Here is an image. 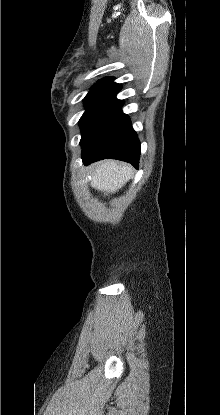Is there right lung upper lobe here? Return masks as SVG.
<instances>
[{
  "mask_svg": "<svg viewBox=\"0 0 220 415\" xmlns=\"http://www.w3.org/2000/svg\"><path fill=\"white\" fill-rule=\"evenodd\" d=\"M102 80H113V77H106V78H104V79H102ZM101 81V80H100Z\"/></svg>",
  "mask_w": 220,
  "mask_h": 415,
  "instance_id": "1",
  "label": "right lung upper lobe"
}]
</instances>
